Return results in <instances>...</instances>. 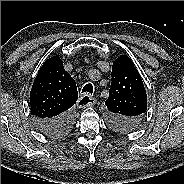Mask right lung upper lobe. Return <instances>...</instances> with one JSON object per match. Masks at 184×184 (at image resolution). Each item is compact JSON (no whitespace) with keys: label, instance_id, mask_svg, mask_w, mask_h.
Wrapping results in <instances>:
<instances>
[{"label":"right lung upper lobe","instance_id":"right-lung-upper-lobe-1","mask_svg":"<svg viewBox=\"0 0 184 184\" xmlns=\"http://www.w3.org/2000/svg\"><path fill=\"white\" fill-rule=\"evenodd\" d=\"M78 99L74 79L63 61L51 57L40 68L30 91V112L35 119L49 120L70 111Z\"/></svg>","mask_w":184,"mask_h":184}]
</instances>
